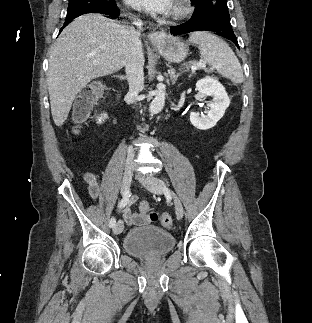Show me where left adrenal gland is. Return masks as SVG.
Segmentation results:
<instances>
[{
    "label": "left adrenal gland",
    "instance_id": "left-adrenal-gland-1",
    "mask_svg": "<svg viewBox=\"0 0 312 323\" xmlns=\"http://www.w3.org/2000/svg\"><path fill=\"white\" fill-rule=\"evenodd\" d=\"M168 74L170 76V80H171L172 84H175V82H176L178 76H180V74H176L174 68H171V66H170V70H169Z\"/></svg>",
    "mask_w": 312,
    "mask_h": 323
}]
</instances>
